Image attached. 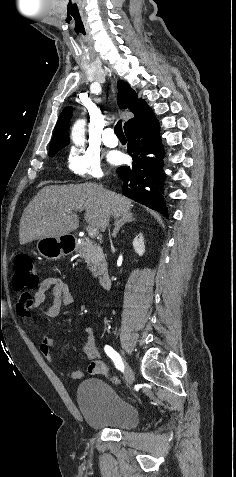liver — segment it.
<instances>
[{"instance_id":"liver-1","label":"liver","mask_w":236,"mask_h":477,"mask_svg":"<svg viewBox=\"0 0 236 477\" xmlns=\"http://www.w3.org/2000/svg\"><path fill=\"white\" fill-rule=\"evenodd\" d=\"M132 201L98 185H50L42 188L24 209L19 229L20 244L68 235L79 226L77 212L85 210L88 224L104 231L105 218H120Z\"/></svg>"}]
</instances>
